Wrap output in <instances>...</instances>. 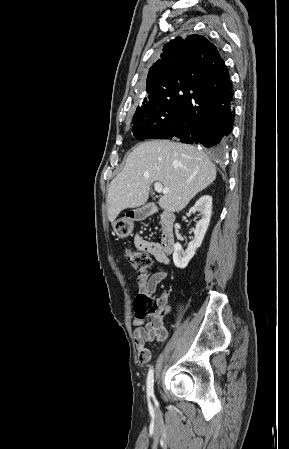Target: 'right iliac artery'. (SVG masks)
<instances>
[{"label":"right iliac artery","instance_id":"obj_1","mask_svg":"<svg viewBox=\"0 0 289 449\" xmlns=\"http://www.w3.org/2000/svg\"><path fill=\"white\" fill-rule=\"evenodd\" d=\"M147 395L151 397L154 395V371L150 369L147 376Z\"/></svg>","mask_w":289,"mask_h":449}]
</instances>
